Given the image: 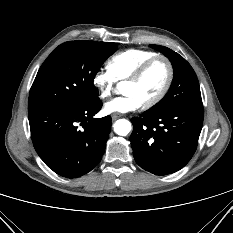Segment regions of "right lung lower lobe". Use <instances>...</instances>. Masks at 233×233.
<instances>
[{"instance_id":"obj_1","label":"right lung lower lobe","mask_w":233,"mask_h":233,"mask_svg":"<svg viewBox=\"0 0 233 233\" xmlns=\"http://www.w3.org/2000/svg\"><path fill=\"white\" fill-rule=\"evenodd\" d=\"M101 108L96 96L75 107L28 113L34 148L51 170L63 177L76 178L100 162L111 129L110 116L93 118Z\"/></svg>"}]
</instances>
